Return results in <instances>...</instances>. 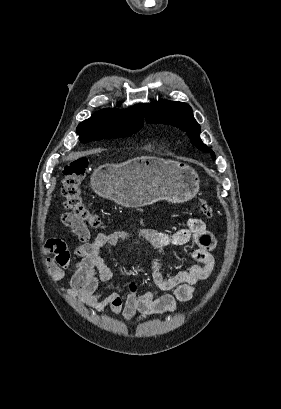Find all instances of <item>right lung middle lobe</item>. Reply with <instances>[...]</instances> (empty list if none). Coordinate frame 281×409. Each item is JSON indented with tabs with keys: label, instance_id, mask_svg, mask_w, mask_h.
<instances>
[{
	"label": "right lung middle lobe",
	"instance_id": "1",
	"mask_svg": "<svg viewBox=\"0 0 281 409\" xmlns=\"http://www.w3.org/2000/svg\"><path fill=\"white\" fill-rule=\"evenodd\" d=\"M143 125L129 127H77V133L82 142L101 139L127 137L136 133Z\"/></svg>",
	"mask_w": 281,
	"mask_h": 409
}]
</instances>
